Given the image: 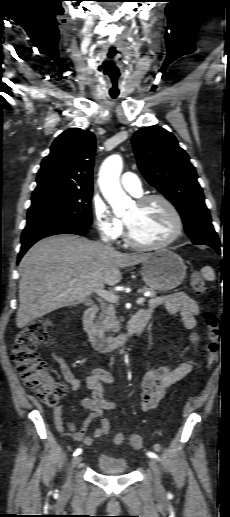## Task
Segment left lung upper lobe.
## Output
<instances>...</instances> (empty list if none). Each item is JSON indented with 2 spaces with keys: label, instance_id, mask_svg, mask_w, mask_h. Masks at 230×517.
<instances>
[{
  "label": "left lung upper lobe",
  "instance_id": "obj_1",
  "mask_svg": "<svg viewBox=\"0 0 230 517\" xmlns=\"http://www.w3.org/2000/svg\"><path fill=\"white\" fill-rule=\"evenodd\" d=\"M132 145L140 171L176 206L192 242H219L196 170L175 136L161 127H146L134 133Z\"/></svg>",
  "mask_w": 230,
  "mask_h": 517
}]
</instances>
